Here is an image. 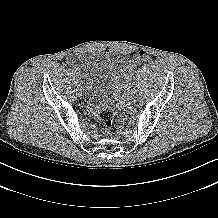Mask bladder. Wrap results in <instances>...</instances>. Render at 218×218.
Returning <instances> with one entry per match:
<instances>
[{"instance_id": "31cf9c89", "label": "bladder", "mask_w": 218, "mask_h": 218, "mask_svg": "<svg viewBox=\"0 0 218 218\" xmlns=\"http://www.w3.org/2000/svg\"><path fill=\"white\" fill-rule=\"evenodd\" d=\"M79 64L84 71V96L87 104L94 110L109 108L115 87L128 72L126 63L117 55L103 53L81 55Z\"/></svg>"}]
</instances>
